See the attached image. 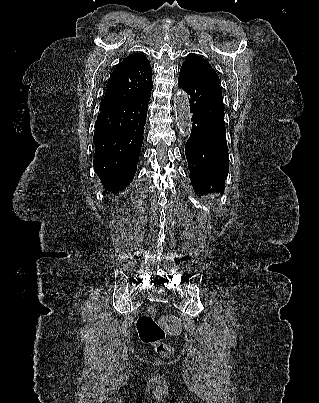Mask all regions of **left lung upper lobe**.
Instances as JSON below:
<instances>
[{
    "label": "left lung upper lobe",
    "mask_w": 319,
    "mask_h": 403,
    "mask_svg": "<svg viewBox=\"0 0 319 403\" xmlns=\"http://www.w3.org/2000/svg\"><path fill=\"white\" fill-rule=\"evenodd\" d=\"M181 68L188 69L198 77L205 78L209 81L215 83L220 82L217 73L211 67L209 62L196 54L187 55Z\"/></svg>",
    "instance_id": "1"
}]
</instances>
